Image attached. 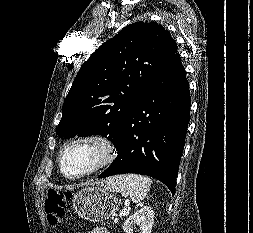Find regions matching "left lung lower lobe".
Returning <instances> with one entry per match:
<instances>
[{"label": "left lung lower lobe", "instance_id": "obj_1", "mask_svg": "<svg viewBox=\"0 0 253 233\" xmlns=\"http://www.w3.org/2000/svg\"><path fill=\"white\" fill-rule=\"evenodd\" d=\"M190 102L185 69L176 52L125 119L114 144L118 156L99 178L123 173L147 175L163 182L174 195Z\"/></svg>", "mask_w": 253, "mask_h": 233}]
</instances>
